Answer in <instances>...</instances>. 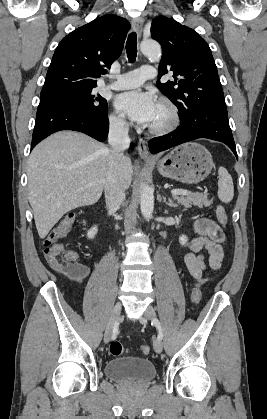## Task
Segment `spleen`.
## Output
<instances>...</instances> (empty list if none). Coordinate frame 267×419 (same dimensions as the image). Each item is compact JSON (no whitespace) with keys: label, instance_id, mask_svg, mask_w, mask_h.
I'll return each mask as SVG.
<instances>
[{"label":"spleen","instance_id":"obj_1","mask_svg":"<svg viewBox=\"0 0 267 419\" xmlns=\"http://www.w3.org/2000/svg\"><path fill=\"white\" fill-rule=\"evenodd\" d=\"M219 180H218V198L223 203H229L234 196V186L231 175L228 173L227 169L220 167L218 170Z\"/></svg>","mask_w":267,"mask_h":419}]
</instances>
